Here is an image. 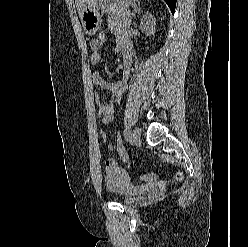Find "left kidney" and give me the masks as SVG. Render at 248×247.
I'll use <instances>...</instances> for the list:
<instances>
[{
	"mask_svg": "<svg viewBox=\"0 0 248 247\" xmlns=\"http://www.w3.org/2000/svg\"><path fill=\"white\" fill-rule=\"evenodd\" d=\"M155 24H156L155 18L151 14L146 13L143 15L140 21L141 31L145 33L146 35L154 34Z\"/></svg>",
	"mask_w": 248,
	"mask_h": 247,
	"instance_id": "5707ae66",
	"label": "left kidney"
}]
</instances>
